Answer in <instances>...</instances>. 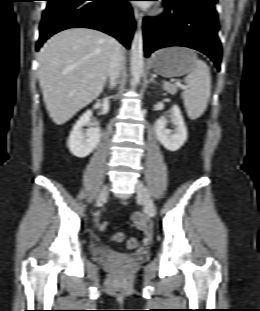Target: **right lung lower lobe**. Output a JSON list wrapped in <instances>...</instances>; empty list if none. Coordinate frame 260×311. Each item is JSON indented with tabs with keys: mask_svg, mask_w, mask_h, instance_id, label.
Masks as SVG:
<instances>
[{
	"mask_svg": "<svg viewBox=\"0 0 260 311\" xmlns=\"http://www.w3.org/2000/svg\"><path fill=\"white\" fill-rule=\"evenodd\" d=\"M46 1L36 51L53 34L73 27L103 31L130 47L135 24L129 0Z\"/></svg>",
	"mask_w": 260,
	"mask_h": 311,
	"instance_id": "1",
	"label": "right lung lower lobe"
}]
</instances>
